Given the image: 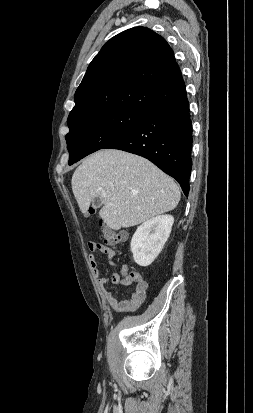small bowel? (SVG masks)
Listing matches in <instances>:
<instances>
[{"label":"small bowel","instance_id":"obj_1","mask_svg":"<svg viewBox=\"0 0 253 413\" xmlns=\"http://www.w3.org/2000/svg\"><path fill=\"white\" fill-rule=\"evenodd\" d=\"M88 248L91 252L89 256V263L92 273L97 278V284L107 304L114 311L119 313L136 311L145 301L148 283L143 279L136 278L135 276L129 274L126 266L121 267L120 270L114 272L110 277H102L95 254L98 252L105 254L108 263L115 269H118L117 264L113 261L115 251L99 242H90L88 244ZM132 283H135V287L132 294L128 298L121 299L114 293L105 289V286L108 284L129 286Z\"/></svg>","mask_w":253,"mask_h":413}]
</instances>
